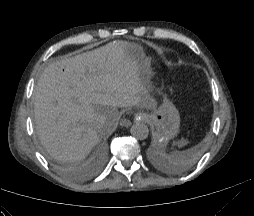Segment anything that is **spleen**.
<instances>
[{
  "label": "spleen",
  "instance_id": "3e777b00",
  "mask_svg": "<svg viewBox=\"0 0 254 216\" xmlns=\"http://www.w3.org/2000/svg\"><path fill=\"white\" fill-rule=\"evenodd\" d=\"M168 160H173L175 158V154L171 153V154H163Z\"/></svg>",
  "mask_w": 254,
  "mask_h": 216
}]
</instances>
